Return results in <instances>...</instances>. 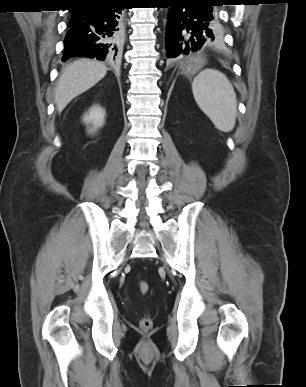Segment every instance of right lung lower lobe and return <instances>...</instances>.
Wrapping results in <instances>:
<instances>
[{"label":"right lung lower lobe","instance_id":"right-lung-lower-lobe-1","mask_svg":"<svg viewBox=\"0 0 306 387\" xmlns=\"http://www.w3.org/2000/svg\"><path fill=\"white\" fill-rule=\"evenodd\" d=\"M122 0H104L73 10L62 61L73 57L115 60L122 40Z\"/></svg>","mask_w":306,"mask_h":387}]
</instances>
